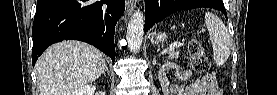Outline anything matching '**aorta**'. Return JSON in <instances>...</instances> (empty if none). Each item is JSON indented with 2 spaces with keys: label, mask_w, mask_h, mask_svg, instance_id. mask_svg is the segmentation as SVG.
<instances>
[{
  "label": "aorta",
  "mask_w": 277,
  "mask_h": 95,
  "mask_svg": "<svg viewBox=\"0 0 277 95\" xmlns=\"http://www.w3.org/2000/svg\"><path fill=\"white\" fill-rule=\"evenodd\" d=\"M144 35V16L140 9H137L131 16L127 28L128 48L132 52H138L142 46Z\"/></svg>",
  "instance_id": "762f6f07"
}]
</instances>
